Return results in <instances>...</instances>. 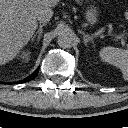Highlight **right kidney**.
Instances as JSON below:
<instances>
[{
    "instance_id": "right-kidney-1",
    "label": "right kidney",
    "mask_w": 128,
    "mask_h": 128,
    "mask_svg": "<svg viewBox=\"0 0 128 128\" xmlns=\"http://www.w3.org/2000/svg\"><path fill=\"white\" fill-rule=\"evenodd\" d=\"M30 54L31 52L30 51H23L20 55V58L22 59V61L24 62H28L30 60Z\"/></svg>"
}]
</instances>
